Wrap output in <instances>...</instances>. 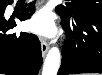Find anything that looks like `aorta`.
<instances>
[{
  "label": "aorta",
  "mask_w": 102,
  "mask_h": 75,
  "mask_svg": "<svg viewBox=\"0 0 102 75\" xmlns=\"http://www.w3.org/2000/svg\"><path fill=\"white\" fill-rule=\"evenodd\" d=\"M60 66V51L57 47H52L45 59L42 75H57Z\"/></svg>",
  "instance_id": "aorta-1"
}]
</instances>
